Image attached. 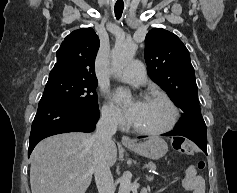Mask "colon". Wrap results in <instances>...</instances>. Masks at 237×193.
Masks as SVG:
<instances>
[{
    "instance_id": "1",
    "label": "colon",
    "mask_w": 237,
    "mask_h": 193,
    "mask_svg": "<svg viewBox=\"0 0 237 193\" xmlns=\"http://www.w3.org/2000/svg\"><path fill=\"white\" fill-rule=\"evenodd\" d=\"M172 146L173 148L183 154L186 155H192L194 154V145L191 141L187 140L184 137H175L172 139ZM199 170H204L205 163L203 161H200L198 163Z\"/></svg>"
}]
</instances>
